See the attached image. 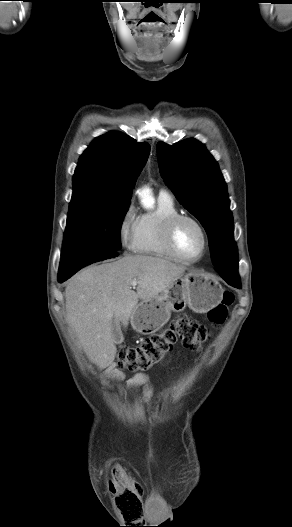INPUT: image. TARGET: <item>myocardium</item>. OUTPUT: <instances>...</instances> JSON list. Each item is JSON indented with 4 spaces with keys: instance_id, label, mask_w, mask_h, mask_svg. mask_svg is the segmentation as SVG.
<instances>
[{
    "instance_id": "1",
    "label": "myocardium",
    "mask_w": 292,
    "mask_h": 527,
    "mask_svg": "<svg viewBox=\"0 0 292 527\" xmlns=\"http://www.w3.org/2000/svg\"><path fill=\"white\" fill-rule=\"evenodd\" d=\"M182 221L192 222L193 224L197 226V228L200 230L202 234L203 248H202L200 255L194 259H188L182 256L177 250V247L175 245V231H176L177 226ZM163 242H164L166 249L173 256L174 259L182 263H186V264H194V263L201 261L205 257L209 249V236H208V233L204 225L196 217L189 215V214L178 213V214L171 216L166 221L164 230H163Z\"/></svg>"
}]
</instances>
